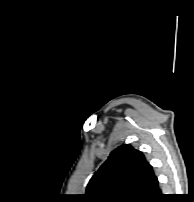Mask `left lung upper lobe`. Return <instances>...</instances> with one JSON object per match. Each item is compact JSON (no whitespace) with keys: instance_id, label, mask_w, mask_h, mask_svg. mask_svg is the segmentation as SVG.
Listing matches in <instances>:
<instances>
[{"instance_id":"left-lung-upper-lobe-1","label":"left lung upper lobe","mask_w":194,"mask_h":202,"mask_svg":"<svg viewBox=\"0 0 194 202\" xmlns=\"http://www.w3.org/2000/svg\"><path fill=\"white\" fill-rule=\"evenodd\" d=\"M158 179L142 152L129 145L115 149L87 185L88 202H151Z\"/></svg>"}]
</instances>
